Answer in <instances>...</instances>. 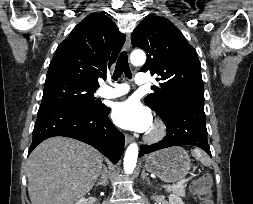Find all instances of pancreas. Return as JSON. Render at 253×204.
I'll list each match as a JSON object with an SVG mask.
<instances>
[{
  "mask_svg": "<svg viewBox=\"0 0 253 204\" xmlns=\"http://www.w3.org/2000/svg\"><path fill=\"white\" fill-rule=\"evenodd\" d=\"M185 187L186 185H181L176 188L167 189L168 192H172L180 197H185Z\"/></svg>",
  "mask_w": 253,
  "mask_h": 204,
  "instance_id": "cf45deb5",
  "label": "pancreas"
}]
</instances>
